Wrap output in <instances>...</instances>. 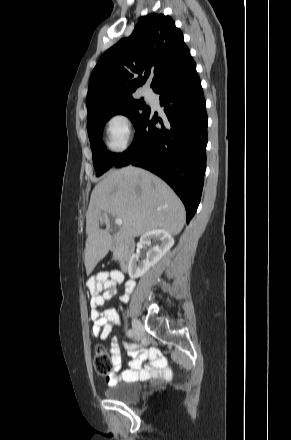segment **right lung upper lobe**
<instances>
[{
	"label": "right lung upper lobe",
	"mask_w": 291,
	"mask_h": 440,
	"mask_svg": "<svg viewBox=\"0 0 291 440\" xmlns=\"http://www.w3.org/2000/svg\"><path fill=\"white\" fill-rule=\"evenodd\" d=\"M182 32L171 17H141L133 33L107 50L89 81L87 110L133 97L147 79L155 92L195 66Z\"/></svg>",
	"instance_id": "cb5924a9"
}]
</instances>
